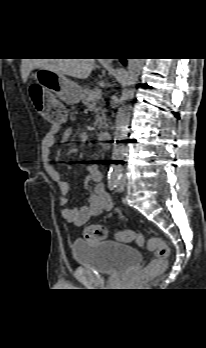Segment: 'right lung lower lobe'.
Wrapping results in <instances>:
<instances>
[{
  "label": "right lung lower lobe",
  "instance_id": "obj_1",
  "mask_svg": "<svg viewBox=\"0 0 206 348\" xmlns=\"http://www.w3.org/2000/svg\"><path fill=\"white\" fill-rule=\"evenodd\" d=\"M123 63H125V59H121Z\"/></svg>",
  "mask_w": 206,
  "mask_h": 348
}]
</instances>
